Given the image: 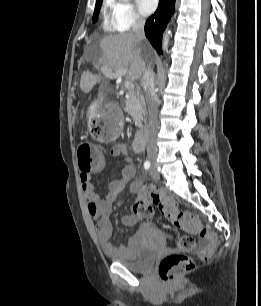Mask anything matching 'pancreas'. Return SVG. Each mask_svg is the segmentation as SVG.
Instances as JSON below:
<instances>
[{"label": "pancreas", "mask_w": 261, "mask_h": 306, "mask_svg": "<svg viewBox=\"0 0 261 306\" xmlns=\"http://www.w3.org/2000/svg\"><path fill=\"white\" fill-rule=\"evenodd\" d=\"M124 111L132 116L137 127L142 126L145 119L146 107L143 95L139 91L128 90Z\"/></svg>", "instance_id": "1"}]
</instances>
